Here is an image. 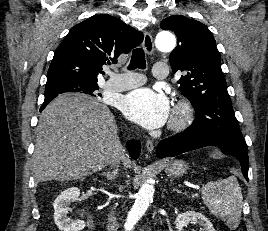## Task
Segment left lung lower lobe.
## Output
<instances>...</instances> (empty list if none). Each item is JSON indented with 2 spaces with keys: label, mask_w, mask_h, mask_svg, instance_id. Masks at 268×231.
I'll use <instances>...</instances> for the list:
<instances>
[{
  "label": "left lung lower lobe",
  "mask_w": 268,
  "mask_h": 231,
  "mask_svg": "<svg viewBox=\"0 0 268 231\" xmlns=\"http://www.w3.org/2000/svg\"><path fill=\"white\" fill-rule=\"evenodd\" d=\"M205 146H217L223 153L237 158L241 163L242 173L248 181V149L231 141L222 140L211 135L185 130L162 140L157 146L156 155L158 158L176 156L183 152Z\"/></svg>",
  "instance_id": "1"
}]
</instances>
